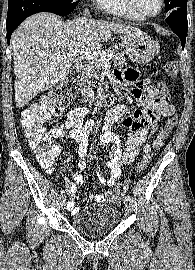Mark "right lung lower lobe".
Here are the masks:
<instances>
[{
  "label": "right lung lower lobe",
  "mask_w": 195,
  "mask_h": 270,
  "mask_svg": "<svg viewBox=\"0 0 195 270\" xmlns=\"http://www.w3.org/2000/svg\"><path fill=\"white\" fill-rule=\"evenodd\" d=\"M55 6L56 4L51 0H9L7 14L8 44L10 43L12 32L20 25L24 19L39 12L55 13Z\"/></svg>",
  "instance_id": "right-lung-lower-lobe-1"
}]
</instances>
